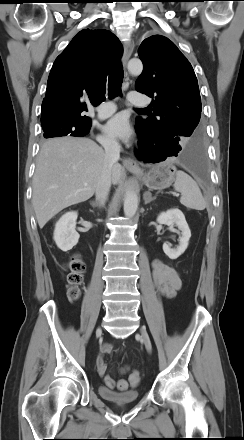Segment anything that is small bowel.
I'll use <instances>...</instances> for the list:
<instances>
[{"label":"small bowel","mask_w":244,"mask_h":440,"mask_svg":"<svg viewBox=\"0 0 244 440\" xmlns=\"http://www.w3.org/2000/svg\"><path fill=\"white\" fill-rule=\"evenodd\" d=\"M153 278L158 291L165 297L171 298L175 296L181 288V279L177 271L168 264L154 260L152 264ZM111 353V346L103 345L100 354L97 357L96 367L100 376H104L108 370L105 355ZM127 371V367L121 369L122 373Z\"/></svg>","instance_id":"c3829d8e"}]
</instances>
